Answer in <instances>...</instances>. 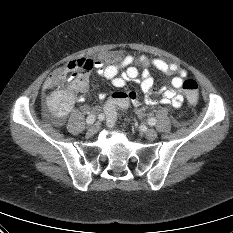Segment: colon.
<instances>
[{
    "label": "colon",
    "mask_w": 233,
    "mask_h": 233,
    "mask_svg": "<svg viewBox=\"0 0 233 233\" xmlns=\"http://www.w3.org/2000/svg\"><path fill=\"white\" fill-rule=\"evenodd\" d=\"M93 68V62L89 59L80 58L68 62L50 77V88L53 89L64 80H77L87 76ZM182 89L188 102L192 105L198 100V84L193 79L183 81ZM129 105L128 93L117 91L113 93L104 109V119L108 127L114 126L120 113L127 109Z\"/></svg>",
    "instance_id": "obj_1"
}]
</instances>
